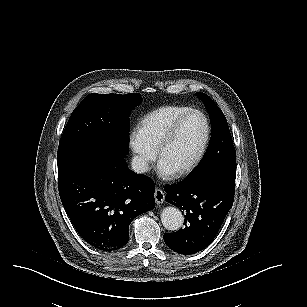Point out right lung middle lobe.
Instances as JSON below:
<instances>
[{
  "mask_svg": "<svg viewBox=\"0 0 307 307\" xmlns=\"http://www.w3.org/2000/svg\"><path fill=\"white\" fill-rule=\"evenodd\" d=\"M141 101L137 93H93L85 97L67 122L59 142L57 159L90 149L127 155L130 110Z\"/></svg>",
  "mask_w": 307,
  "mask_h": 307,
  "instance_id": "dd1d6c3e",
  "label": "right lung middle lobe"
}]
</instances>
